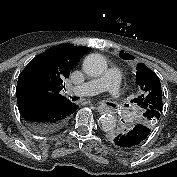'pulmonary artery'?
Segmentation results:
<instances>
[{
  "instance_id": "obj_1",
  "label": "pulmonary artery",
  "mask_w": 177,
  "mask_h": 177,
  "mask_svg": "<svg viewBox=\"0 0 177 177\" xmlns=\"http://www.w3.org/2000/svg\"><path fill=\"white\" fill-rule=\"evenodd\" d=\"M120 80V70L117 68H110L104 76L76 86L72 88L71 92L78 96H90L108 90L110 93V101L117 104L122 101L119 90Z\"/></svg>"
}]
</instances>
